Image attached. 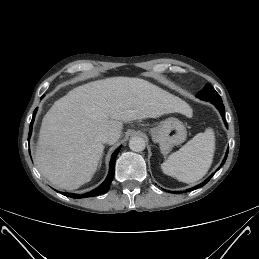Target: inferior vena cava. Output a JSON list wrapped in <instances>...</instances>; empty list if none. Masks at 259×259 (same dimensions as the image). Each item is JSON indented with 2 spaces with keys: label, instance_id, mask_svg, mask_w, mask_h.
I'll use <instances>...</instances> for the list:
<instances>
[{
  "label": "inferior vena cava",
  "instance_id": "inferior-vena-cava-1",
  "mask_svg": "<svg viewBox=\"0 0 259 259\" xmlns=\"http://www.w3.org/2000/svg\"><path fill=\"white\" fill-rule=\"evenodd\" d=\"M109 139H110V134L107 132L100 133L97 136V141H99L101 143H108Z\"/></svg>",
  "mask_w": 259,
  "mask_h": 259
}]
</instances>
